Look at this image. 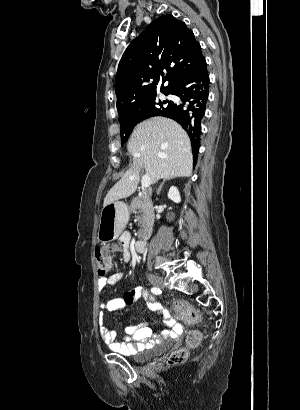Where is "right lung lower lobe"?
Masks as SVG:
<instances>
[{"instance_id": "right-lung-lower-lobe-1", "label": "right lung lower lobe", "mask_w": 300, "mask_h": 410, "mask_svg": "<svg viewBox=\"0 0 300 410\" xmlns=\"http://www.w3.org/2000/svg\"><path fill=\"white\" fill-rule=\"evenodd\" d=\"M171 94L178 96L183 102L171 101L155 116L171 118L186 130L191 139L194 162H196L200 145L201 121L209 94V77L204 57L177 79Z\"/></svg>"}]
</instances>
